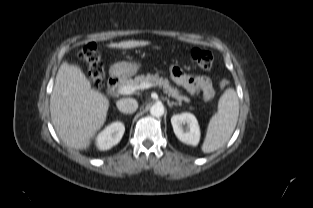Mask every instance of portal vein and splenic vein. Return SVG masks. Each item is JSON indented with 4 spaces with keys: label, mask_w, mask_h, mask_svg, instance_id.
<instances>
[{
    "label": "portal vein and splenic vein",
    "mask_w": 313,
    "mask_h": 208,
    "mask_svg": "<svg viewBox=\"0 0 313 208\" xmlns=\"http://www.w3.org/2000/svg\"><path fill=\"white\" fill-rule=\"evenodd\" d=\"M153 86H154V84H151V83H148V82L141 83L138 86L126 85V86H123V87H121L119 89V93L123 94V95H130V94L134 93L138 89H148V88H151Z\"/></svg>",
    "instance_id": "obj_1"
}]
</instances>
